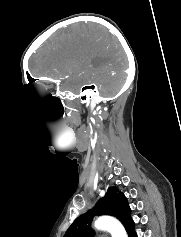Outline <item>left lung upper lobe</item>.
<instances>
[{"label":"left lung upper lobe","instance_id":"left-lung-upper-lobe-1","mask_svg":"<svg viewBox=\"0 0 181 237\" xmlns=\"http://www.w3.org/2000/svg\"><path fill=\"white\" fill-rule=\"evenodd\" d=\"M131 210L125 195L117 187H110L103 198L94 208L80 215L66 231L64 237H93L91 221L94 216L111 215L116 217L124 225L129 237H134V222L130 217Z\"/></svg>","mask_w":181,"mask_h":237}]
</instances>
